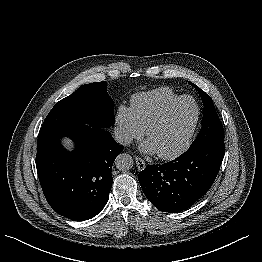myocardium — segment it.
<instances>
[{"mask_svg": "<svg viewBox=\"0 0 262 262\" xmlns=\"http://www.w3.org/2000/svg\"><path fill=\"white\" fill-rule=\"evenodd\" d=\"M185 100H190L195 104L196 107V114L193 120V123L191 125V128L185 138V140L183 141V143L174 151L169 152V153H157L159 158L163 159V160H172L175 159L177 157H179L181 154H183L191 145L195 131L197 129L198 123H199V119H200V106L198 104V102L191 96H182L180 98H178L177 100L173 101L172 103H170L168 106H166L160 113L159 115L149 124V126L146 129V135L149 138L151 132L156 129L157 127H159L161 124L164 123V121L167 119V117L169 116V114L179 105L181 104L183 101Z\"/></svg>", "mask_w": 262, "mask_h": 262, "instance_id": "f54148a6", "label": "myocardium"}]
</instances>
